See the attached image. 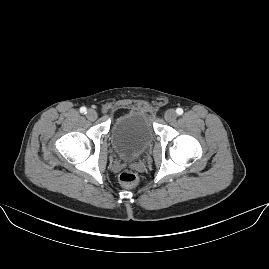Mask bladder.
I'll list each match as a JSON object with an SVG mask.
<instances>
[{"label": "bladder", "instance_id": "bladder-1", "mask_svg": "<svg viewBox=\"0 0 269 269\" xmlns=\"http://www.w3.org/2000/svg\"><path fill=\"white\" fill-rule=\"evenodd\" d=\"M110 137L118 155L137 159L154 140L152 122L142 111H127L114 119Z\"/></svg>", "mask_w": 269, "mask_h": 269}]
</instances>
